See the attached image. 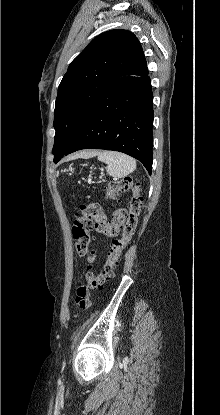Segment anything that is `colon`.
<instances>
[{
  "label": "colon",
  "mask_w": 220,
  "mask_h": 415,
  "mask_svg": "<svg viewBox=\"0 0 220 415\" xmlns=\"http://www.w3.org/2000/svg\"><path fill=\"white\" fill-rule=\"evenodd\" d=\"M139 189L140 182L130 177L110 182L107 190L108 198L114 199L128 190H132L134 194L129 209H115L109 219L97 203L80 206V215L74 221L72 227L76 255L86 258L89 265L94 262L95 249L92 238L94 229L112 239L102 271L95 275L88 270L85 274L86 284L77 286L75 290L74 301L82 311L89 309L91 306L90 290L102 288L106 280L113 275L123 250L130 243L135 233L143 206Z\"/></svg>",
  "instance_id": "colon-1"
}]
</instances>
